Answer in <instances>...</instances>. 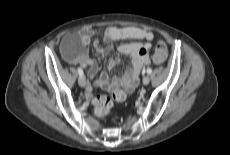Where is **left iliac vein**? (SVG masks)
<instances>
[{
    "mask_svg": "<svg viewBox=\"0 0 230 155\" xmlns=\"http://www.w3.org/2000/svg\"><path fill=\"white\" fill-rule=\"evenodd\" d=\"M142 82H143L144 85H148L149 82H150V78L148 76H145V77H143Z\"/></svg>",
    "mask_w": 230,
    "mask_h": 155,
    "instance_id": "left-iliac-vein-1",
    "label": "left iliac vein"
}]
</instances>
